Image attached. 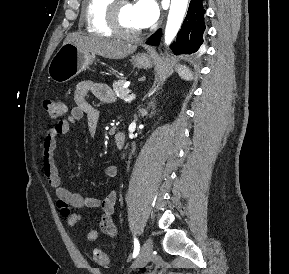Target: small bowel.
<instances>
[{"label": "small bowel", "mask_w": 289, "mask_h": 274, "mask_svg": "<svg viewBox=\"0 0 289 274\" xmlns=\"http://www.w3.org/2000/svg\"><path fill=\"white\" fill-rule=\"evenodd\" d=\"M89 95H93L105 102L113 101L112 91L107 85L92 80L79 82L74 94L75 105L71 109L70 115L53 125L43 141L41 172L47 183L53 188L57 198V208L61 216L66 220L68 226L73 227L81 221L82 216L79 211L99 208L102 213L100 219L101 231L109 237H115L117 228L113 222V214L117 193L111 191L105 198L99 199L70 191L61 184V178L55 160L58 138L69 132L73 122L81 120L85 116L90 136L95 135L99 122V112L88 101ZM105 174L109 179L115 178L118 175V167L109 165L105 170ZM97 238L98 231L96 229H90L86 235V240L93 242Z\"/></svg>", "instance_id": "small-bowel-1"}]
</instances>
